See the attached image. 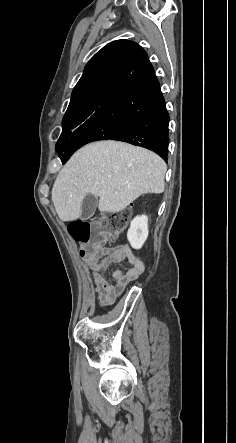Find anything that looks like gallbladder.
<instances>
[{"instance_id": "gallbladder-1", "label": "gallbladder", "mask_w": 236, "mask_h": 443, "mask_svg": "<svg viewBox=\"0 0 236 443\" xmlns=\"http://www.w3.org/2000/svg\"><path fill=\"white\" fill-rule=\"evenodd\" d=\"M98 205V197L92 194H86L81 205V215L80 218L86 220L90 218Z\"/></svg>"}]
</instances>
